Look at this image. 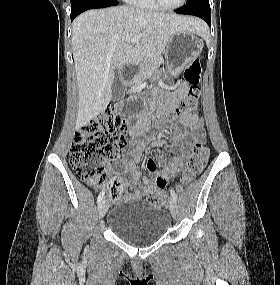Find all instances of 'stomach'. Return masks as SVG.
Masks as SVG:
<instances>
[{
  "label": "stomach",
  "instance_id": "obj_1",
  "mask_svg": "<svg viewBox=\"0 0 280 285\" xmlns=\"http://www.w3.org/2000/svg\"><path fill=\"white\" fill-rule=\"evenodd\" d=\"M202 42L194 33L187 30L175 32L166 47V65L169 72L177 76L182 67L195 59L202 51Z\"/></svg>",
  "mask_w": 280,
  "mask_h": 285
}]
</instances>
